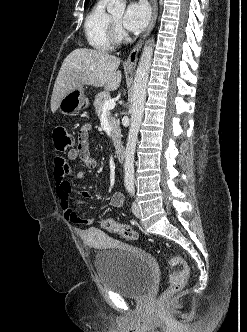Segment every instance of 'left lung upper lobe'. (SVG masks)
Returning <instances> with one entry per match:
<instances>
[{
    "mask_svg": "<svg viewBox=\"0 0 247 332\" xmlns=\"http://www.w3.org/2000/svg\"><path fill=\"white\" fill-rule=\"evenodd\" d=\"M88 0H86L85 5L87 4Z\"/></svg>",
    "mask_w": 247,
    "mask_h": 332,
    "instance_id": "obj_1",
    "label": "left lung upper lobe"
}]
</instances>
